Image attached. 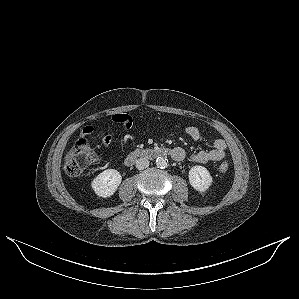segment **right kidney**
<instances>
[{
    "label": "right kidney",
    "instance_id": "right-kidney-1",
    "mask_svg": "<svg viewBox=\"0 0 299 299\" xmlns=\"http://www.w3.org/2000/svg\"><path fill=\"white\" fill-rule=\"evenodd\" d=\"M122 181L121 174L115 169H107L95 177L91 183L92 189L99 197L112 196Z\"/></svg>",
    "mask_w": 299,
    "mask_h": 299
}]
</instances>
